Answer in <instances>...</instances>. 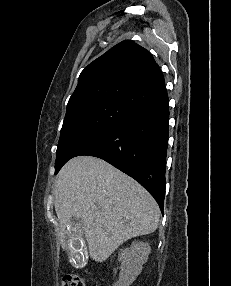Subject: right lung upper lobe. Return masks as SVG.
Wrapping results in <instances>:
<instances>
[{
	"mask_svg": "<svg viewBox=\"0 0 231 286\" xmlns=\"http://www.w3.org/2000/svg\"><path fill=\"white\" fill-rule=\"evenodd\" d=\"M164 81L152 55L131 40H125L90 63L80 74L66 115L103 101L130 105Z\"/></svg>",
	"mask_w": 231,
	"mask_h": 286,
	"instance_id": "1",
	"label": "right lung upper lobe"
}]
</instances>
